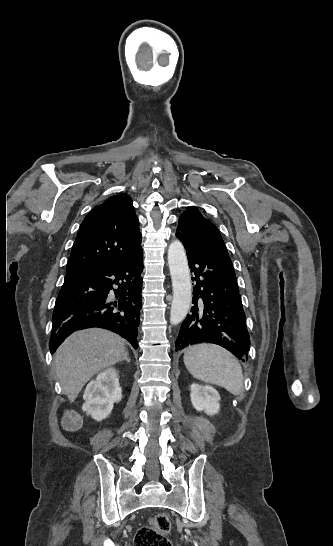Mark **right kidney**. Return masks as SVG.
Segmentation results:
<instances>
[{
  "label": "right kidney",
  "mask_w": 333,
  "mask_h": 546,
  "mask_svg": "<svg viewBox=\"0 0 333 546\" xmlns=\"http://www.w3.org/2000/svg\"><path fill=\"white\" fill-rule=\"evenodd\" d=\"M122 398L118 372L114 368H107L99 373L86 387L82 406L83 411L97 421H101L111 413L115 402Z\"/></svg>",
  "instance_id": "1"
}]
</instances>
